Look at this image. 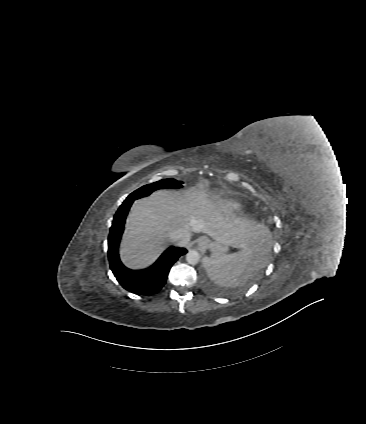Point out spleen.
<instances>
[{
  "label": "spleen",
  "instance_id": "obj_1",
  "mask_svg": "<svg viewBox=\"0 0 366 424\" xmlns=\"http://www.w3.org/2000/svg\"><path fill=\"white\" fill-rule=\"evenodd\" d=\"M265 254L257 246L220 256L207 257L205 269L212 281L221 286L236 287L253 277Z\"/></svg>",
  "mask_w": 366,
  "mask_h": 424
}]
</instances>
